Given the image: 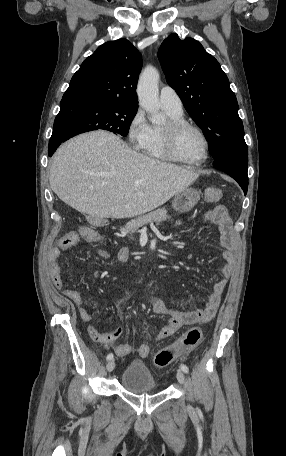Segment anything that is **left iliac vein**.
Listing matches in <instances>:
<instances>
[{
  "mask_svg": "<svg viewBox=\"0 0 286 456\" xmlns=\"http://www.w3.org/2000/svg\"><path fill=\"white\" fill-rule=\"evenodd\" d=\"M177 380L179 381L180 384L185 383V375L182 370L177 371Z\"/></svg>",
  "mask_w": 286,
  "mask_h": 456,
  "instance_id": "obj_1",
  "label": "left iliac vein"
}]
</instances>
